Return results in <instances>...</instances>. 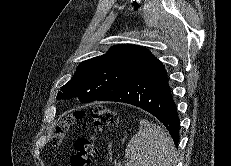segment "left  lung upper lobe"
Listing matches in <instances>:
<instances>
[{
    "mask_svg": "<svg viewBox=\"0 0 231 166\" xmlns=\"http://www.w3.org/2000/svg\"><path fill=\"white\" fill-rule=\"evenodd\" d=\"M156 58L138 45H117L108 53L83 61L57 99L77 97L82 103L95 101L132 78Z\"/></svg>",
    "mask_w": 231,
    "mask_h": 166,
    "instance_id": "5c2ea615",
    "label": "left lung upper lobe"
}]
</instances>
